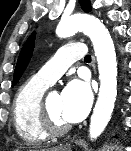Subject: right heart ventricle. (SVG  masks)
I'll use <instances>...</instances> for the list:
<instances>
[{
  "mask_svg": "<svg viewBox=\"0 0 131 151\" xmlns=\"http://www.w3.org/2000/svg\"><path fill=\"white\" fill-rule=\"evenodd\" d=\"M49 84L36 76L18 90L13 105V123L19 137L28 143H40L48 138L40 118V103Z\"/></svg>",
  "mask_w": 131,
  "mask_h": 151,
  "instance_id": "obj_1",
  "label": "right heart ventricle"
}]
</instances>
